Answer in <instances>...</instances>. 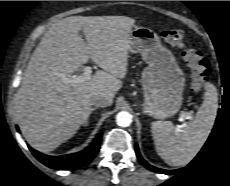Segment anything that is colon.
Here are the masks:
<instances>
[{"instance_id": "colon-1", "label": "colon", "mask_w": 230, "mask_h": 186, "mask_svg": "<svg viewBox=\"0 0 230 186\" xmlns=\"http://www.w3.org/2000/svg\"><path fill=\"white\" fill-rule=\"evenodd\" d=\"M162 38L170 45L181 50L182 58L191 71V86L200 90L210 75V64L196 49L188 46L181 30L169 29L161 33Z\"/></svg>"}]
</instances>
